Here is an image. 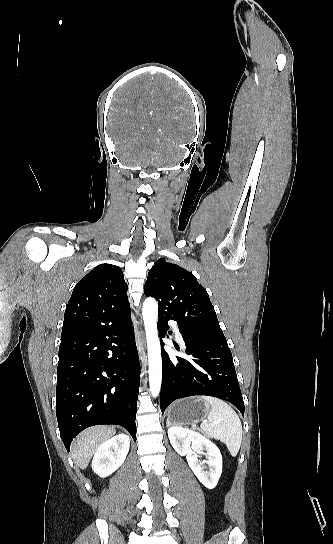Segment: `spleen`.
<instances>
[{
	"mask_svg": "<svg viewBox=\"0 0 333 544\" xmlns=\"http://www.w3.org/2000/svg\"><path fill=\"white\" fill-rule=\"evenodd\" d=\"M211 406L207 420L200 425L211 437L226 444L232 456H236L242 442V424L239 416L226 402L212 396H201Z\"/></svg>",
	"mask_w": 333,
	"mask_h": 544,
	"instance_id": "3e777b00",
	"label": "spleen"
}]
</instances>
